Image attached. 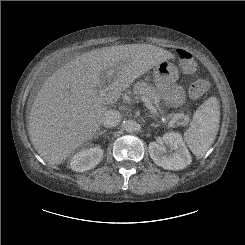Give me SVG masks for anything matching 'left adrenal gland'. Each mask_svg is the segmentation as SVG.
I'll list each match as a JSON object with an SVG mask.
<instances>
[{"mask_svg": "<svg viewBox=\"0 0 245 245\" xmlns=\"http://www.w3.org/2000/svg\"><path fill=\"white\" fill-rule=\"evenodd\" d=\"M150 126H152V127H157V125H156V124H154V123H152Z\"/></svg>", "mask_w": 245, "mask_h": 245, "instance_id": "left-adrenal-gland-1", "label": "left adrenal gland"}]
</instances>
